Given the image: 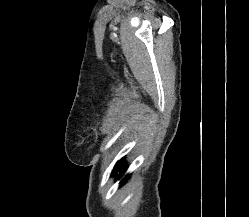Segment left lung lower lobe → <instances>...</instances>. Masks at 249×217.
I'll return each mask as SVG.
<instances>
[{"label":"left lung lower lobe","mask_w":249,"mask_h":217,"mask_svg":"<svg viewBox=\"0 0 249 217\" xmlns=\"http://www.w3.org/2000/svg\"><path fill=\"white\" fill-rule=\"evenodd\" d=\"M118 170H121L120 175H123V173L126 170V166H125V161L124 158L121 159L119 162H117L116 166L114 167V170L112 172V174H116L118 172ZM129 177H126L123 182L121 184H124V182L128 179Z\"/></svg>","instance_id":"0a47b994"}]
</instances>
